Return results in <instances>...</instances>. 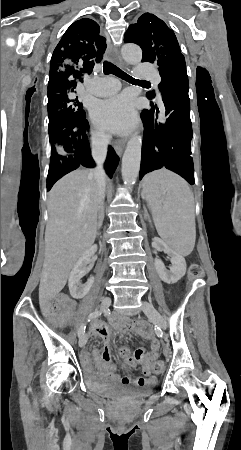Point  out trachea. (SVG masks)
<instances>
[{"instance_id":"obj_1","label":"trachea","mask_w":241,"mask_h":450,"mask_svg":"<svg viewBox=\"0 0 241 450\" xmlns=\"http://www.w3.org/2000/svg\"><path fill=\"white\" fill-rule=\"evenodd\" d=\"M103 71L105 75H116V77L122 78L123 80L132 81V82H143L145 80H137L136 78L130 77L127 73L120 70V68L113 65V63L105 61L103 63Z\"/></svg>"}]
</instances>
